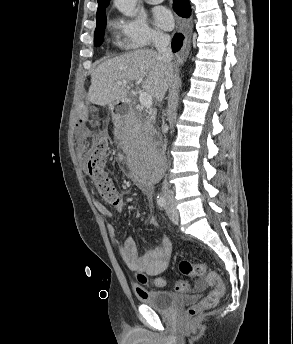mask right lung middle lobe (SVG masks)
<instances>
[{
	"label": "right lung middle lobe",
	"mask_w": 293,
	"mask_h": 344,
	"mask_svg": "<svg viewBox=\"0 0 293 344\" xmlns=\"http://www.w3.org/2000/svg\"><path fill=\"white\" fill-rule=\"evenodd\" d=\"M96 19H97V26H96L95 34H94V45L100 46L103 42L104 30L106 27L105 9H103L99 14H97Z\"/></svg>",
	"instance_id": "dd1d6c3e"
}]
</instances>
